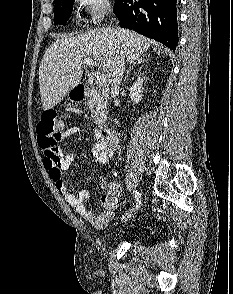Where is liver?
Instances as JSON below:
<instances>
[{"instance_id": "obj_1", "label": "liver", "mask_w": 233, "mask_h": 294, "mask_svg": "<svg viewBox=\"0 0 233 294\" xmlns=\"http://www.w3.org/2000/svg\"><path fill=\"white\" fill-rule=\"evenodd\" d=\"M152 44V40L123 28L89 30L76 37H61L45 52L39 67V87L43 110L58 104L80 84L85 59L100 62L99 67L112 82L117 60L124 56L132 63Z\"/></svg>"}]
</instances>
